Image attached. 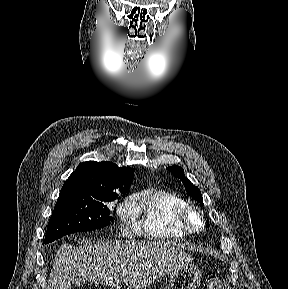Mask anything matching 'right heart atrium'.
<instances>
[{"label": "right heart atrium", "mask_w": 288, "mask_h": 289, "mask_svg": "<svg viewBox=\"0 0 288 289\" xmlns=\"http://www.w3.org/2000/svg\"><path fill=\"white\" fill-rule=\"evenodd\" d=\"M118 215L127 226V229H132L131 218L134 215V211L130 201L126 200L119 206Z\"/></svg>", "instance_id": "obj_1"}]
</instances>
